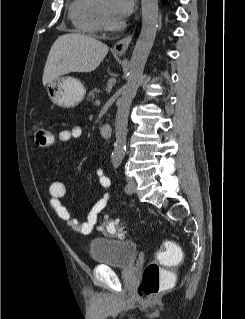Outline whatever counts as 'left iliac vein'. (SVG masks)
Segmentation results:
<instances>
[{"label": "left iliac vein", "mask_w": 245, "mask_h": 319, "mask_svg": "<svg viewBox=\"0 0 245 319\" xmlns=\"http://www.w3.org/2000/svg\"><path fill=\"white\" fill-rule=\"evenodd\" d=\"M129 190H127V193H134L136 191L137 183L134 178H127Z\"/></svg>", "instance_id": "1"}]
</instances>
